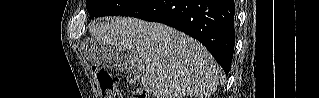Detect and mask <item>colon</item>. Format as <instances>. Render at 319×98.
<instances>
[{
	"label": "colon",
	"instance_id": "obj_1",
	"mask_svg": "<svg viewBox=\"0 0 319 98\" xmlns=\"http://www.w3.org/2000/svg\"><path fill=\"white\" fill-rule=\"evenodd\" d=\"M93 73L99 83L103 98H121L117 76L110 74L99 66L93 67ZM132 97L148 98V91L143 87L137 86Z\"/></svg>",
	"mask_w": 319,
	"mask_h": 98
}]
</instances>
